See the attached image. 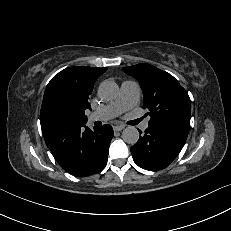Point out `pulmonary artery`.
I'll list each match as a JSON object with an SVG mask.
<instances>
[{
	"mask_svg": "<svg viewBox=\"0 0 231 231\" xmlns=\"http://www.w3.org/2000/svg\"><path fill=\"white\" fill-rule=\"evenodd\" d=\"M140 87L136 81L126 80L121 83L118 96L111 102L92 112L88 116L89 122L107 121L119 114L132 109L139 101ZM149 121L143 122L141 128L146 130Z\"/></svg>",
	"mask_w": 231,
	"mask_h": 231,
	"instance_id": "e3ab8cb5",
	"label": "pulmonary artery"
}]
</instances>
